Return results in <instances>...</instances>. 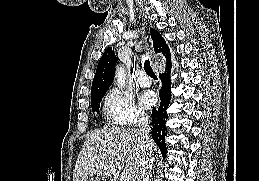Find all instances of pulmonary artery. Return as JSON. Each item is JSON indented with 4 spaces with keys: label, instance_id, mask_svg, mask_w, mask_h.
I'll return each instance as SVG.
<instances>
[{
    "label": "pulmonary artery",
    "instance_id": "pulmonary-artery-1",
    "mask_svg": "<svg viewBox=\"0 0 259 181\" xmlns=\"http://www.w3.org/2000/svg\"><path fill=\"white\" fill-rule=\"evenodd\" d=\"M138 83L142 87H149L151 85V80L144 71L140 72L138 76Z\"/></svg>",
    "mask_w": 259,
    "mask_h": 181
}]
</instances>
